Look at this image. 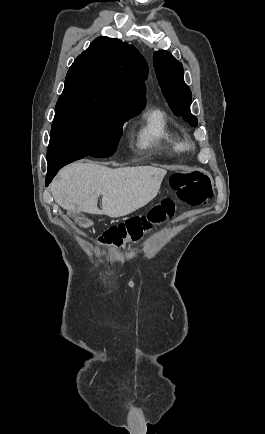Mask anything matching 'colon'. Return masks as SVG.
Returning <instances> with one entry per match:
<instances>
[{"label": "colon", "instance_id": "1", "mask_svg": "<svg viewBox=\"0 0 265 434\" xmlns=\"http://www.w3.org/2000/svg\"><path fill=\"white\" fill-rule=\"evenodd\" d=\"M171 175V189H175L176 193H182V202H210L212 192L209 172H199V168H190L189 172L181 168H172ZM179 211L180 204L165 198L154 205L147 215L109 227L99 238L97 245L120 250L129 243H137L155 225Z\"/></svg>", "mask_w": 265, "mask_h": 434}]
</instances>
